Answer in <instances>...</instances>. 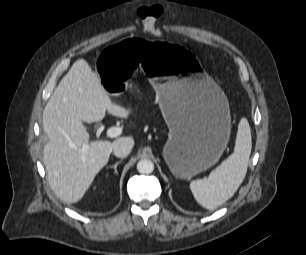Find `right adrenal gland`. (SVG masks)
<instances>
[{
    "mask_svg": "<svg viewBox=\"0 0 306 255\" xmlns=\"http://www.w3.org/2000/svg\"><path fill=\"white\" fill-rule=\"evenodd\" d=\"M122 163V160L118 161L115 163V165H112V166H108V168H113L114 169V172L115 174H117V166Z\"/></svg>",
    "mask_w": 306,
    "mask_h": 255,
    "instance_id": "obj_1",
    "label": "right adrenal gland"
}]
</instances>
